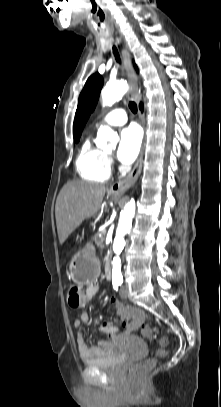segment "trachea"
Here are the masks:
<instances>
[{"instance_id":"1","label":"trachea","mask_w":221,"mask_h":407,"mask_svg":"<svg viewBox=\"0 0 221 407\" xmlns=\"http://www.w3.org/2000/svg\"><path fill=\"white\" fill-rule=\"evenodd\" d=\"M113 53H114V56H115L116 61H117L118 63H120V62H121V61H120V56H119L118 51H117V49H116L115 46H113ZM129 108H130V110H131L133 113H137V105H136L135 102L130 101V102H129Z\"/></svg>"}]
</instances>
